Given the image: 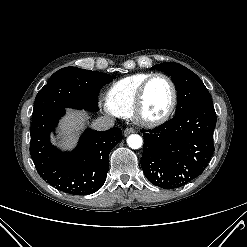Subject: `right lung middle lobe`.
Listing matches in <instances>:
<instances>
[{
  "mask_svg": "<svg viewBox=\"0 0 247 247\" xmlns=\"http://www.w3.org/2000/svg\"><path fill=\"white\" fill-rule=\"evenodd\" d=\"M113 77L97 71L65 67L55 72L38 92L33 115L55 107L98 110L100 88Z\"/></svg>",
  "mask_w": 247,
  "mask_h": 247,
  "instance_id": "right-lung-middle-lobe-1",
  "label": "right lung middle lobe"
}]
</instances>
